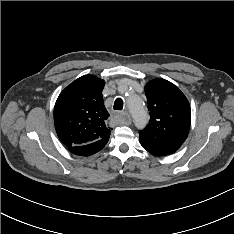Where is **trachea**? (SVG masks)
<instances>
[{
    "mask_svg": "<svg viewBox=\"0 0 234 234\" xmlns=\"http://www.w3.org/2000/svg\"><path fill=\"white\" fill-rule=\"evenodd\" d=\"M113 109L114 110H122L123 109V100L121 98H117L115 100Z\"/></svg>",
    "mask_w": 234,
    "mask_h": 234,
    "instance_id": "obj_1",
    "label": "trachea"
}]
</instances>
